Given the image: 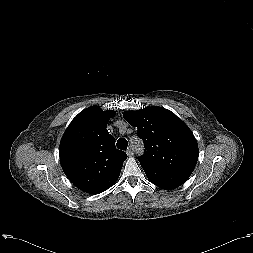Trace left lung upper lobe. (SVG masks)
Instances as JSON below:
<instances>
[{
    "label": "left lung upper lobe",
    "instance_id": "1",
    "mask_svg": "<svg viewBox=\"0 0 253 253\" xmlns=\"http://www.w3.org/2000/svg\"><path fill=\"white\" fill-rule=\"evenodd\" d=\"M124 119L137 128L145 153L141 166L193 172L198 160L197 141L189 127L171 111L162 107H145L127 111Z\"/></svg>",
    "mask_w": 253,
    "mask_h": 253
}]
</instances>
